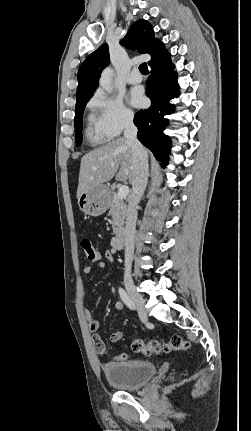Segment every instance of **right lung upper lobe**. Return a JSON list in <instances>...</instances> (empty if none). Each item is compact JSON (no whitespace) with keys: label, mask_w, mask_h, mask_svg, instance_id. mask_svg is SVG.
Here are the masks:
<instances>
[{"label":"right lung upper lobe","mask_w":251,"mask_h":431,"mask_svg":"<svg viewBox=\"0 0 251 431\" xmlns=\"http://www.w3.org/2000/svg\"><path fill=\"white\" fill-rule=\"evenodd\" d=\"M121 43L127 48L138 50L140 53L150 54L149 66L163 62L170 56L163 42L154 37L150 23L143 19L132 24ZM109 58L108 46L104 44L91 53L81 64L78 71L77 99L92 95L98 87L100 74L109 63Z\"/></svg>","instance_id":"obj_1"}]
</instances>
